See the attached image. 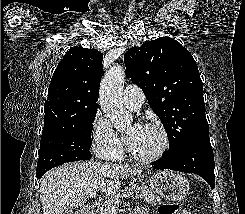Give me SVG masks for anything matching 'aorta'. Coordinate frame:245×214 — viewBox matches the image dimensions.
Returning a JSON list of instances; mask_svg holds the SVG:
<instances>
[{"label":"aorta","mask_w":245,"mask_h":214,"mask_svg":"<svg viewBox=\"0 0 245 214\" xmlns=\"http://www.w3.org/2000/svg\"><path fill=\"white\" fill-rule=\"evenodd\" d=\"M125 83V69L116 64L105 74L101 81L99 102L104 115L116 128H123L132 120L122 101Z\"/></svg>","instance_id":"aorta-1"}]
</instances>
